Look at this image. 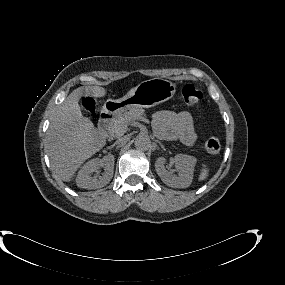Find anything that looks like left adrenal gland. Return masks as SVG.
<instances>
[{
  "label": "left adrenal gland",
  "instance_id": "1",
  "mask_svg": "<svg viewBox=\"0 0 285 285\" xmlns=\"http://www.w3.org/2000/svg\"><path fill=\"white\" fill-rule=\"evenodd\" d=\"M156 142L159 143L162 148H164L163 144L159 140H156Z\"/></svg>",
  "mask_w": 285,
  "mask_h": 285
}]
</instances>
